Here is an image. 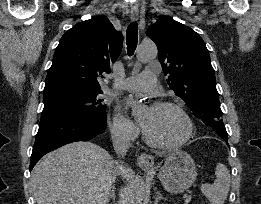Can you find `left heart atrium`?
Wrapping results in <instances>:
<instances>
[{
	"label": "left heart atrium",
	"instance_id": "left-heart-atrium-1",
	"mask_svg": "<svg viewBox=\"0 0 261 204\" xmlns=\"http://www.w3.org/2000/svg\"><path fill=\"white\" fill-rule=\"evenodd\" d=\"M132 103H133V102H132L131 100H128V101H127V106H131Z\"/></svg>",
	"mask_w": 261,
	"mask_h": 204
}]
</instances>
